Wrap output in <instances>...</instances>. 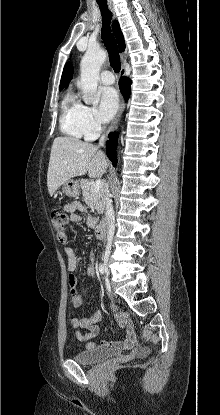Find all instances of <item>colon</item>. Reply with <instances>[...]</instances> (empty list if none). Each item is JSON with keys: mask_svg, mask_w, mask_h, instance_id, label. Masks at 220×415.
Masks as SVG:
<instances>
[{"mask_svg": "<svg viewBox=\"0 0 220 415\" xmlns=\"http://www.w3.org/2000/svg\"><path fill=\"white\" fill-rule=\"evenodd\" d=\"M51 218L57 234H61L67 226L70 217L67 212L57 210L52 212ZM111 308L114 312L120 313L117 307L112 306Z\"/></svg>", "mask_w": 220, "mask_h": 415, "instance_id": "5ec220e1", "label": "colon"}]
</instances>
